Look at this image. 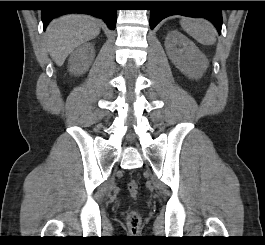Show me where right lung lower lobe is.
Segmentation results:
<instances>
[{
  "instance_id": "1",
  "label": "right lung lower lobe",
  "mask_w": 265,
  "mask_h": 245,
  "mask_svg": "<svg viewBox=\"0 0 265 245\" xmlns=\"http://www.w3.org/2000/svg\"><path fill=\"white\" fill-rule=\"evenodd\" d=\"M52 4L57 7L41 10L44 29L53 18L67 13L90 14L103 19L109 29H115L117 15L113 1H53Z\"/></svg>"
}]
</instances>
